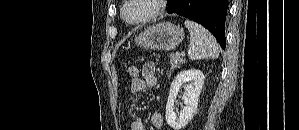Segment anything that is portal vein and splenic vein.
Masks as SVG:
<instances>
[{
	"label": "portal vein and splenic vein",
	"instance_id": "portal-vein-and-splenic-vein-1",
	"mask_svg": "<svg viewBox=\"0 0 299 130\" xmlns=\"http://www.w3.org/2000/svg\"><path fill=\"white\" fill-rule=\"evenodd\" d=\"M176 56L180 57V56H181V53H180V52H177V53H176Z\"/></svg>",
	"mask_w": 299,
	"mask_h": 130
}]
</instances>
